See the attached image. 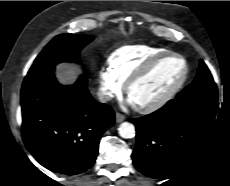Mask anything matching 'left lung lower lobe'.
I'll return each instance as SVG.
<instances>
[{
  "mask_svg": "<svg viewBox=\"0 0 230 186\" xmlns=\"http://www.w3.org/2000/svg\"><path fill=\"white\" fill-rule=\"evenodd\" d=\"M216 111L217 92H204L170 100L154 113L135 118V167L152 178L172 177L203 146Z\"/></svg>",
  "mask_w": 230,
  "mask_h": 186,
  "instance_id": "obj_1",
  "label": "left lung lower lobe"
}]
</instances>
